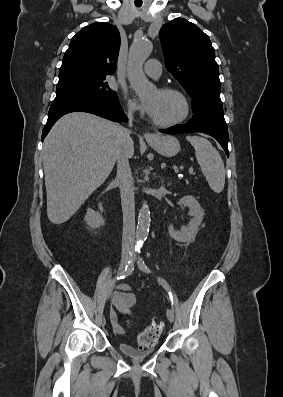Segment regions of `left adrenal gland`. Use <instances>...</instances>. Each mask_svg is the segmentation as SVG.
I'll return each instance as SVG.
<instances>
[{"instance_id": "1", "label": "left adrenal gland", "mask_w": 283, "mask_h": 397, "mask_svg": "<svg viewBox=\"0 0 283 397\" xmlns=\"http://www.w3.org/2000/svg\"><path fill=\"white\" fill-rule=\"evenodd\" d=\"M161 183H162V187H163V180H161Z\"/></svg>"}]
</instances>
